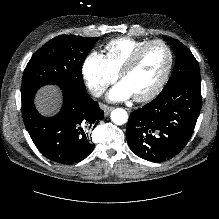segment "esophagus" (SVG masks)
Masks as SVG:
<instances>
[{
	"mask_svg": "<svg viewBox=\"0 0 219 219\" xmlns=\"http://www.w3.org/2000/svg\"><path fill=\"white\" fill-rule=\"evenodd\" d=\"M103 109H104V115L107 116L114 109V107L104 105Z\"/></svg>",
	"mask_w": 219,
	"mask_h": 219,
	"instance_id": "1",
	"label": "esophagus"
}]
</instances>
